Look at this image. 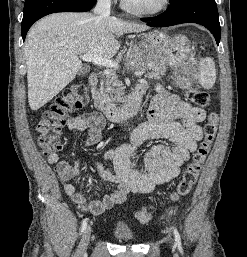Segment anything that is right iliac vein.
<instances>
[{
  "instance_id": "right-iliac-vein-1",
  "label": "right iliac vein",
  "mask_w": 247,
  "mask_h": 257,
  "mask_svg": "<svg viewBox=\"0 0 247 257\" xmlns=\"http://www.w3.org/2000/svg\"><path fill=\"white\" fill-rule=\"evenodd\" d=\"M91 236V226H88L80 240L75 257H85Z\"/></svg>"
}]
</instances>
